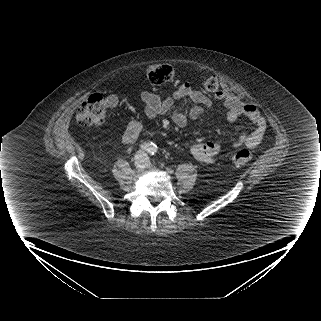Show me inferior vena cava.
I'll list each match as a JSON object with an SVG mask.
<instances>
[{
  "instance_id": "inferior-vena-cava-1",
  "label": "inferior vena cava",
  "mask_w": 321,
  "mask_h": 321,
  "mask_svg": "<svg viewBox=\"0 0 321 321\" xmlns=\"http://www.w3.org/2000/svg\"><path fill=\"white\" fill-rule=\"evenodd\" d=\"M142 156H143V162H142V164H145L146 162H148L149 158H148V156H147L146 153H143Z\"/></svg>"
}]
</instances>
